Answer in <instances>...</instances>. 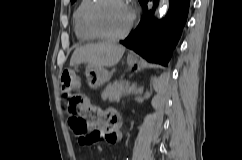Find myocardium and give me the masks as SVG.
Masks as SVG:
<instances>
[{
	"label": "myocardium",
	"instance_id": "myocardium-1",
	"mask_svg": "<svg viewBox=\"0 0 242 160\" xmlns=\"http://www.w3.org/2000/svg\"><path fill=\"white\" fill-rule=\"evenodd\" d=\"M122 1H124L130 7V10H131L130 22L122 33L117 34V35H110V34H106V33L102 32L98 28V26L96 25L95 20H94L95 10L99 6V4L101 2H103V0H92V2L88 6L86 13H85V23H86V26L88 27V29L96 37L104 39V40H108V41H118V40H121V39H124L125 37H127L129 35V33L132 31V29L135 25V22H136L137 14H136L135 9L129 3L128 0H122Z\"/></svg>",
	"mask_w": 242,
	"mask_h": 160
}]
</instances>
